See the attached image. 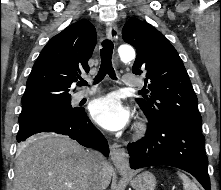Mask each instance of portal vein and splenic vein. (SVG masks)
I'll list each match as a JSON object with an SVG mask.
<instances>
[{
	"mask_svg": "<svg viewBox=\"0 0 221 190\" xmlns=\"http://www.w3.org/2000/svg\"><path fill=\"white\" fill-rule=\"evenodd\" d=\"M68 187H72V184L71 183H67L66 184Z\"/></svg>",
	"mask_w": 221,
	"mask_h": 190,
	"instance_id": "portal-vein-and-splenic-vein-1",
	"label": "portal vein and splenic vein"
}]
</instances>
